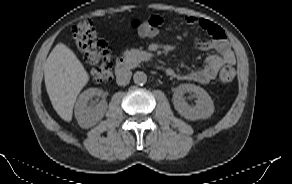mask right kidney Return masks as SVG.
<instances>
[{
    "label": "right kidney",
    "instance_id": "right-kidney-1",
    "mask_svg": "<svg viewBox=\"0 0 292 184\" xmlns=\"http://www.w3.org/2000/svg\"><path fill=\"white\" fill-rule=\"evenodd\" d=\"M101 95L102 90L89 88L78 97L75 104V117L82 128L92 127L103 118L107 110V103L105 101H101L95 106L88 105V101L92 97Z\"/></svg>",
    "mask_w": 292,
    "mask_h": 184
}]
</instances>
